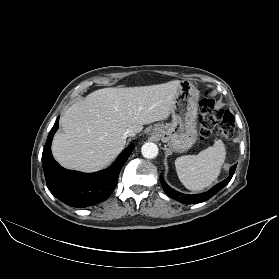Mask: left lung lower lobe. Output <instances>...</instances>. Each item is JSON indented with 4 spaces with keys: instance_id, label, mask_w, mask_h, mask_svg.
<instances>
[{
    "instance_id": "obj_1",
    "label": "left lung lower lobe",
    "mask_w": 279,
    "mask_h": 279,
    "mask_svg": "<svg viewBox=\"0 0 279 279\" xmlns=\"http://www.w3.org/2000/svg\"><path fill=\"white\" fill-rule=\"evenodd\" d=\"M235 169H236V165H233L230 168V175L225 180H223L222 182L215 185L211 190L201 193V194H197V195H186V194L180 193V192L172 189L171 187H169L166 184L162 175L160 176V181H161L163 190L169 197H171L181 203H184V204H196V203H201V202L208 200L209 198L214 196L218 191H220L223 187H225L231 180V178L235 172Z\"/></svg>"
}]
</instances>
